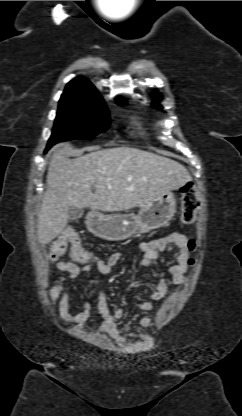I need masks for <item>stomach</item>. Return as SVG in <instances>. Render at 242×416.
Segmentation results:
<instances>
[{"mask_svg": "<svg viewBox=\"0 0 242 416\" xmlns=\"http://www.w3.org/2000/svg\"><path fill=\"white\" fill-rule=\"evenodd\" d=\"M176 212V199L173 193L166 192L145 205L137 215H104L92 211L87 216V229L95 236L120 241L136 233H145L166 225Z\"/></svg>", "mask_w": 242, "mask_h": 416, "instance_id": "0dacf381", "label": "stomach"}]
</instances>
